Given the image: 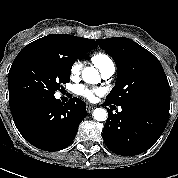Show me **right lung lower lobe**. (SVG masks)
<instances>
[{
  "mask_svg": "<svg viewBox=\"0 0 178 178\" xmlns=\"http://www.w3.org/2000/svg\"><path fill=\"white\" fill-rule=\"evenodd\" d=\"M9 105L21 135L45 151L68 147L87 116L85 103L76 97L64 104L54 95L17 94L9 96Z\"/></svg>",
  "mask_w": 178,
  "mask_h": 178,
  "instance_id": "1",
  "label": "right lung lower lobe"
}]
</instances>
